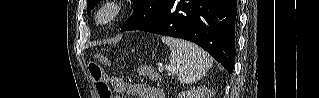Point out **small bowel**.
Wrapping results in <instances>:
<instances>
[{"label":"small bowel","instance_id":"obj_1","mask_svg":"<svg viewBox=\"0 0 319 98\" xmlns=\"http://www.w3.org/2000/svg\"><path fill=\"white\" fill-rule=\"evenodd\" d=\"M113 88L120 94L139 98H164L161 90L140 83H128L120 78L109 79Z\"/></svg>","mask_w":319,"mask_h":98}]
</instances>
